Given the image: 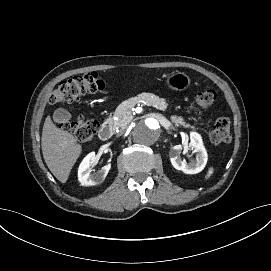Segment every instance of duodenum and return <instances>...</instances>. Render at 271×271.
<instances>
[{"label": "duodenum", "instance_id": "410a0bca", "mask_svg": "<svg viewBox=\"0 0 271 271\" xmlns=\"http://www.w3.org/2000/svg\"><path fill=\"white\" fill-rule=\"evenodd\" d=\"M113 134V123L110 119L106 120L100 130H99V138L102 141H107L111 138Z\"/></svg>", "mask_w": 271, "mask_h": 271}]
</instances>
